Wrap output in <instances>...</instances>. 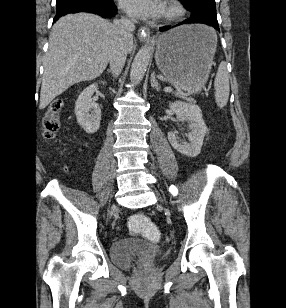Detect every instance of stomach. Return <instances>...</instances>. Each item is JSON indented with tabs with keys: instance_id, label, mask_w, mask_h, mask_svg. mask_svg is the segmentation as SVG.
Masks as SVG:
<instances>
[{
	"instance_id": "obj_1",
	"label": "stomach",
	"mask_w": 286,
	"mask_h": 308,
	"mask_svg": "<svg viewBox=\"0 0 286 308\" xmlns=\"http://www.w3.org/2000/svg\"><path fill=\"white\" fill-rule=\"evenodd\" d=\"M216 46L217 35L211 27L183 25L158 38L155 59L171 84L197 92L209 77Z\"/></svg>"
}]
</instances>
